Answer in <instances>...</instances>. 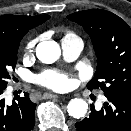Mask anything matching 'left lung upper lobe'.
Instances as JSON below:
<instances>
[{"label": "left lung upper lobe", "instance_id": "1", "mask_svg": "<svg viewBox=\"0 0 131 131\" xmlns=\"http://www.w3.org/2000/svg\"><path fill=\"white\" fill-rule=\"evenodd\" d=\"M89 34L97 56L94 78L88 89L131 100V28L117 15L91 9L67 16Z\"/></svg>", "mask_w": 131, "mask_h": 131}]
</instances>
